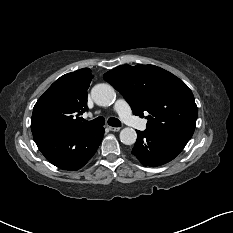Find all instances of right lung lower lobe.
<instances>
[{"instance_id":"98d812e1","label":"right lung lower lobe","mask_w":233,"mask_h":233,"mask_svg":"<svg viewBox=\"0 0 233 233\" xmlns=\"http://www.w3.org/2000/svg\"><path fill=\"white\" fill-rule=\"evenodd\" d=\"M104 128H91L75 134H40L33 136L44 155L53 165L63 170H78L97 151Z\"/></svg>"}]
</instances>
